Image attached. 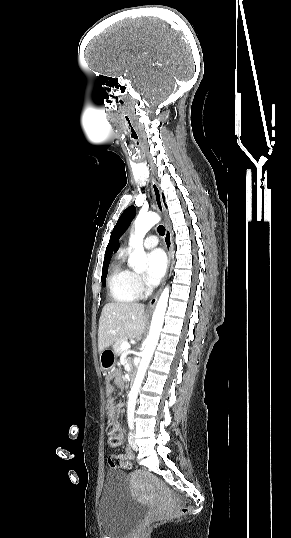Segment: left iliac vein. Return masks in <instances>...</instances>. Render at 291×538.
<instances>
[{
  "mask_svg": "<svg viewBox=\"0 0 291 538\" xmlns=\"http://www.w3.org/2000/svg\"><path fill=\"white\" fill-rule=\"evenodd\" d=\"M128 440H129V444H130L131 448L134 449V450H138V446L135 443V437H134V434L132 432H130V434L128 436Z\"/></svg>",
  "mask_w": 291,
  "mask_h": 538,
  "instance_id": "1",
  "label": "left iliac vein"
}]
</instances>
